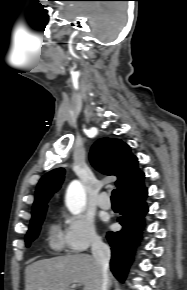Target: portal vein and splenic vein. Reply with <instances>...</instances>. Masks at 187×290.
I'll return each mask as SVG.
<instances>
[{
  "mask_svg": "<svg viewBox=\"0 0 187 290\" xmlns=\"http://www.w3.org/2000/svg\"><path fill=\"white\" fill-rule=\"evenodd\" d=\"M72 287H73V288H75V287H76V285H75V284H73V285H72Z\"/></svg>",
  "mask_w": 187,
  "mask_h": 290,
  "instance_id": "1",
  "label": "portal vein and splenic vein"
}]
</instances>
